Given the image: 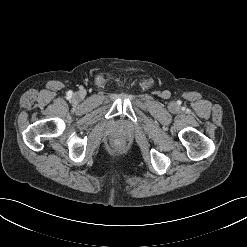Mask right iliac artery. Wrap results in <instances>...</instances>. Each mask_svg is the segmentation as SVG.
<instances>
[{
    "label": "right iliac artery",
    "mask_w": 247,
    "mask_h": 247,
    "mask_svg": "<svg viewBox=\"0 0 247 247\" xmlns=\"http://www.w3.org/2000/svg\"><path fill=\"white\" fill-rule=\"evenodd\" d=\"M67 94H68L69 97H71L73 93H72V91H68Z\"/></svg>",
    "instance_id": "obj_1"
}]
</instances>
